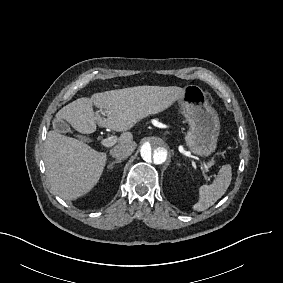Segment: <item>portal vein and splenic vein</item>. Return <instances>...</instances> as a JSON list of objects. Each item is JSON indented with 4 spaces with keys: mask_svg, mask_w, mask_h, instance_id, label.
I'll return each instance as SVG.
<instances>
[{
    "mask_svg": "<svg viewBox=\"0 0 283 283\" xmlns=\"http://www.w3.org/2000/svg\"><path fill=\"white\" fill-rule=\"evenodd\" d=\"M116 142H117L116 136H110V137L102 140V144L106 147L113 146ZM199 175L201 177H203L204 182L206 184H209L211 182V179L215 180L217 178V175L215 173H212L211 175H209L204 169H201L199 171Z\"/></svg>",
    "mask_w": 283,
    "mask_h": 283,
    "instance_id": "obj_1",
    "label": "portal vein and splenic vein"
}]
</instances>
